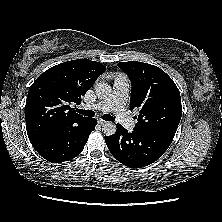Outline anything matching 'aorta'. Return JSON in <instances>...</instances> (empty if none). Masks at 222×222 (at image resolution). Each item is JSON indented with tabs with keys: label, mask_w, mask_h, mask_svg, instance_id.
I'll list each match as a JSON object with an SVG mask.
<instances>
[{
	"label": "aorta",
	"mask_w": 222,
	"mask_h": 222,
	"mask_svg": "<svg viewBox=\"0 0 222 222\" xmlns=\"http://www.w3.org/2000/svg\"><path fill=\"white\" fill-rule=\"evenodd\" d=\"M95 91L99 98H106L111 92V86L107 83L100 82L95 85ZM102 131L106 136H111L116 132V125L108 121L103 124Z\"/></svg>",
	"instance_id": "762f6f07"
}]
</instances>
